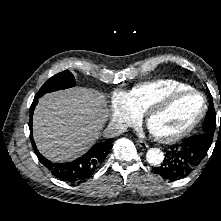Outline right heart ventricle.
Returning <instances> with one entry per match:
<instances>
[{
  "label": "right heart ventricle",
  "instance_id": "e07e8e85",
  "mask_svg": "<svg viewBox=\"0 0 221 221\" xmlns=\"http://www.w3.org/2000/svg\"><path fill=\"white\" fill-rule=\"evenodd\" d=\"M188 88V84L175 79H158L136 84L125 94L131 109L138 115H143L153 101L170 92Z\"/></svg>",
  "mask_w": 221,
  "mask_h": 221
}]
</instances>
